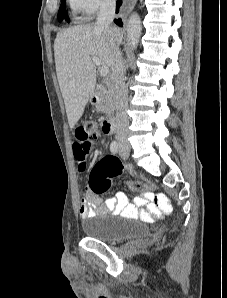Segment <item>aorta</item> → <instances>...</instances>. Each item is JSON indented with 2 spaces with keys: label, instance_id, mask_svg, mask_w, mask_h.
<instances>
[{
  "label": "aorta",
  "instance_id": "aorta-1",
  "mask_svg": "<svg viewBox=\"0 0 227 298\" xmlns=\"http://www.w3.org/2000/svg\"><path fill=\"white\" fill-rule=\"evenodd\" d=\"M142 25L140 16L137 13H132L127 23V41L130 49H135L139 43L141 36Z\"/></svg>",
  "mask_w": 227,
  "mask_h": 298
}]
</instances>
